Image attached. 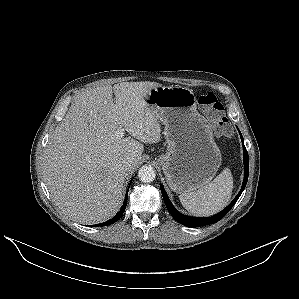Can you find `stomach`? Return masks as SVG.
<instances>
[{"instance_id": "0dacf381", "label": "stomach", "mask_w": 299, "mask_h": 299, "mask_svg": "<svg viewBox=\"0 0 299 299\" xmlns=\"http://www.w3.org/2000/svg\"><path fill=\"white\" fill-rule=\"evenodd\" d=\"M164 125L166 153L158 158L169 187L187 193L209 184L222 161L211 126L186 87L153 88L145 98Z\"/></svg>"}]
</instances>
